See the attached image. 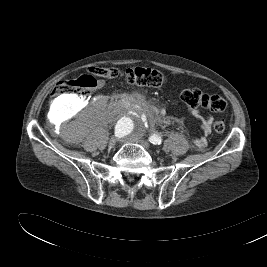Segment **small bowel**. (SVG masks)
I'll return each instance as SVG.
<instances>
[{
    "label": "small bowel",
    "instance_id": "obj_1",
    "mask_svg": "<svg viewBox=\"0 0 267 267\" xmlns=\"http://www.w3.org/2000/svg\"><path fill=\"white\" fill-rule=\"evenodd\" d=\"M99 86H103V82L99 83ZM193 115L196 116L202 123V132L203 135L195 140V145L199 148H203L207 144L206 136L211 132V118L205 115L198 109L192 111Z\"/></svg>",
    "mask_w": 267,
    "mask_h": 267
}]
</instances>
